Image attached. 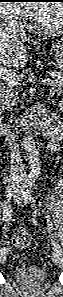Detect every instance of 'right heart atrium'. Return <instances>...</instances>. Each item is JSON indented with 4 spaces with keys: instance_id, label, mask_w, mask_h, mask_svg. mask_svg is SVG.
Here are the masks:
<instances>
[{
    "instance_id": "obj_1",
    "label": "right heart atrium",
    "mask_w": 63,
    "mask_h": 297,
    "mask_svg": "<svg viewBox=\"0 0 63 297\" xmlns=\"http://www.w3.org/2000/svg\"><path fill=\"white\" fill-rule=\"evenodd\" d=\"M3 12L5 15H7L8 19L12 20V22H14L15 20H20L21 18L20 11L16 8L6 7Z\"/></svg>"
}]
</instances>
